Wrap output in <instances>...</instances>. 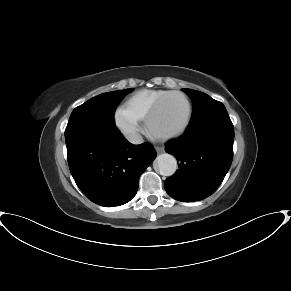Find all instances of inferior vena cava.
Segmentation results:
<instances>
[{
	"label": "inferior vena cava",
	"mask_w": 291,
	"mask_h": 291,
	"mask_svg": "<svg viewBox=\"0 0 291 291\" xmlns=\"http://www.w3.org/2000/svg\"><path fill=\"white\" fill-rule=\"evenodd\" d=\"M128 140L133 144H141L143 143V138L139 133H131L128 135Z\"/></svg>",
	"instance_id": "obj_1"
}]
</instances>
